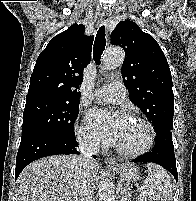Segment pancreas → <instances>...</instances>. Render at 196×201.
I'll return each mask as SVG.
<instances>
[{
    "label": "pancreas",
    "instance_id": "1",
    "mask_svg": "<svg viewBox=\"0 0 196 201\" xmlns=\"http://www.w3.org/2000/svg\"><path fill=\"white\" fill-rule=\"evenodd\" d=\"M122 200L121 201H131V193H130V189L126 188L125 190H123L122 192Z\"/></svg>",
    "mask_w": 196,
    "mask_h": 201
}]
</instances>
